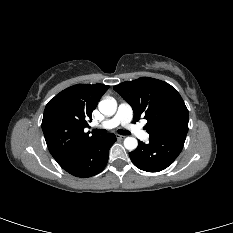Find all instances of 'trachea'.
Returning a JSON list of instances; mask_svg holds the SVG:
<instances>
[{"label":"trachea","instance_id":"1","mask_svg":"<svg viewBox=\"0 0 233 233\" xmlns=\"http://www.w3.org/2000/svg\"><path fill=\"white\" fill-rule=\"evenodd\" d=\"M92 132L96 135H104L107 133V131L105 129H94ZM118 133L121 135H129L130 134L129 131L121 130V129L118 130Z\"/></svg>","mask_w":233,"mask_h":233}]
</instances>
